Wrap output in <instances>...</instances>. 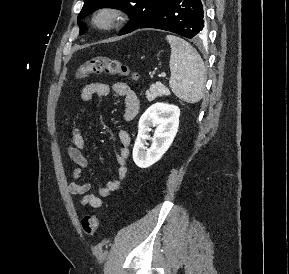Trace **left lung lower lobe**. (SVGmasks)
<instances>
[{
	"label": "left lung lower lobe",
	"instance_id": "left-lung-lower-lobe-1",
	"mask_svg": "<svg viewBox=\"0 0 289 274\" xmlns=\"http://www.w3.org/2000/svg\"><path fill=\"white\" fill-rule=\"evenodd\" d=\"M138 28L161 29L200 39L205 34L202 0H165Z\"/></svg>",
	"mask_w": 289,
	"mask_h": 274
}]
</instances>
